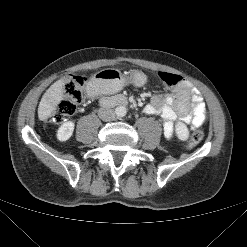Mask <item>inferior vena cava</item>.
<instances>
[{
  "label": "inferior vena cava",
  "instance_id": "1",
  "mask_svg": "<svg viewBox=\"0 0 247 247\" xmlns=\"http://www.w3.org/2000/svg\"><path fill=\"white\" fill-rule=\"evenodd\" d=\"M98 116L103 121H113L116 117V113L111 108H100L98 110Z\"/></svg>",
  "mask_w": 247,
  "mask_h": 247
}]
</instances>
